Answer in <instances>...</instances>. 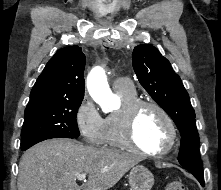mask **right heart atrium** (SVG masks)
<instances>
[{
    "mask_svg": "<svg viewBox=\"0 0 221 190\" xmlns=\"http://www.w3.org/2000/svg\"><path fill=\"white\" fill-rule=\"evenodd\" d=\"M75 123L78 131L88 144L92 146L105 144V119L88 96L83 97L76 109Z\"/></svg>",
    "mask_w": 221,
    "mask_h": 190,
    "instance_id": "d8ad5b80",
    "label": "right heart atrium"
}]
</instances>
